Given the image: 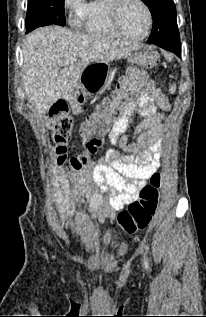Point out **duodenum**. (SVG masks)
Returning <instances> with one entry per match:
<instances>
[{"mask_svg":"<svg viewBox=\"0 0 206 317\" xmlns=\"http://www.w3.org/2000/svg\"><path fill=\"white\" fill-rule=\"evenodd\" d=\"M72 109H73L74 113H77V111H80L81 101L80 100H73L72 101Z\"/></svg>","mask_w":206,"mask_h":317,"instance_id":"duodenum-1","label":"duodenum"}]
</instances>
